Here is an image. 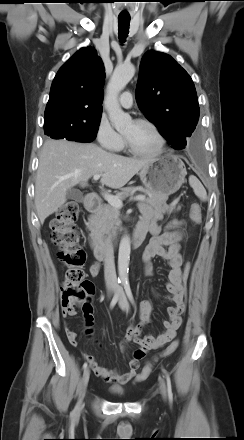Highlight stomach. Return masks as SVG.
I'll return each instance as SVG.
<instances>
[{
  "instance_id": "0dacf381",
  "label": "stomach",
  "mask_w": 244,
  "mask_h": 440,
  "mask_svg": "<svg viewBox=\"0 0 244 440\" xmlns=\"http://www.w3.org/2000/svg\"><path fill=\"white\" fill-rule=\"evenodd\" d=\"M186 174L183 161L175 155L166 154L143 167L139 177L149 193L168 197L179 190Z\"/></svg>"
}]
</instances>
